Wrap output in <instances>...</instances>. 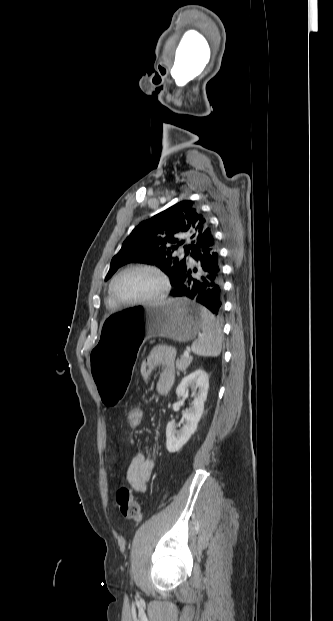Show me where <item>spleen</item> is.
Instances as JSON below:
<instances>
[{"label":"spleen","instance_id":"spleen-1","mask_svg":"<svg viewBox=\"0 0 333 621\" xmlns=\"http://www.w3.org/2000/svg\"><path fill=\"white\" fill-rule=\"evenodd\" d=\"M202 336L191 346L194 354L202 357H217L222 350V330L218 320L206 308L202 307Z\"/></svg>","mask_w":333,"mask_h":621}]
</instances>
